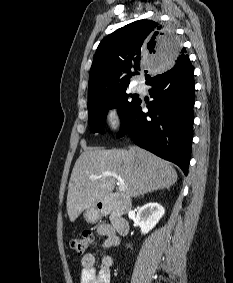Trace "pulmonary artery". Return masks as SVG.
I'll use <instances>...</instances> for the list:
<instances>
[{
  "mask_svg": "<svg viewBox=\"0 0 233 283\" xmlns=\"http://www.w3.org/2000/svg\"><path fill=\"white\" fill-rule=\"evenodd\" d=\"M136 90H137L138 92H141V91L143 90V88H142V86L139 85V86L136 87Z\"/></svg>",
  "mask_w": 233,
  "mask_h": 283,
  "instance_id": "1",
  "label": "pulmonary artery"
}]
</instances>
